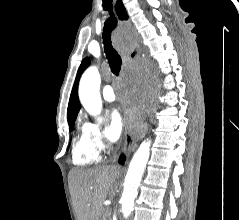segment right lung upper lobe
<instances>
[{
	"mask_svg": "<svg viewBox=\"0 0 239 220\" xmlns=\"http://www.w3.org/2000/svg\"><path fill=\"white\" fill-rule=\"evenodd\" d=\"M90 62L87 58H85L81 65L79 66L77 76L71 91L68 110H67V118L68 121L74 120L77 117V114L81 108L79 98H78V84L80 76L82 75L83 71L89 66Z\"/></svg>",
	"mask_w": 239,
	"mask_h": 220,
	"instance_id": "1",
	"label": "right lung upper lobe"
}]
</instances>
